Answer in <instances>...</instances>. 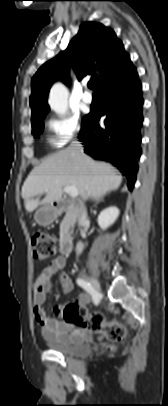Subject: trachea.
<instances>
[{
	"label": "trachea",
	"instance_id": "1",
	"mask_svg": "<svg viewBox=\"0 0 168 406\" xmlns=\"http://www.w3.org/2000/svg\"><path fill=\"white\" fill-rule=\"evenodd\" d=\"M88 87L92 89V83H88Z\"/></svg>",
	"mask_w": 168,
	"mask_h": 406
}]
</instances>
